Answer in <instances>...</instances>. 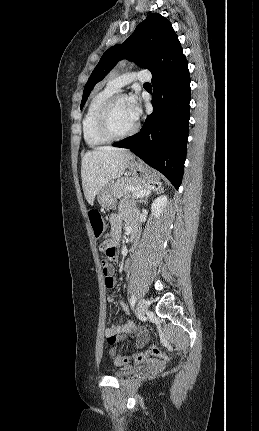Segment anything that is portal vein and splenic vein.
<instances>
[{"instance_id":"portal-vein-and-splenic-vein-1","label":"portal vein and splenic vein","mask_w":259,"mask_h":431,"mask_svg":"<svg viewBox=\"0 0 259 431\" xmlns=\"http://www.w3.org/2000/svg\"><path fill=\"white\" fill-rule=\"evenodd\" d=\"M148 192H149V188H145V189H142V190H137L134 193V195L137 196V197H142V196L146 195Z\"/></svg>"}]
</instances>
